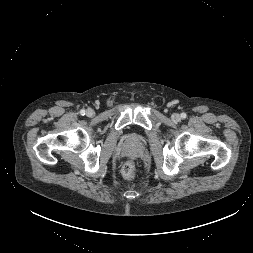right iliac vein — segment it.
<instances>
[{"label":"right iliac vein","instance_id":"63e3f726","mask_svg":"<svg viewBox=\"0 0 253 253\" xmlns=\"http://www.w3.org/2000/svg\"><path fill=\"white\" fill-rule=\"evenodd\" d=\"M86 114H87V116L92 117V116H94L95 112L92 109H88Z\"/></svg>","mask_w":253,"mask_h":253}]
</instances>
